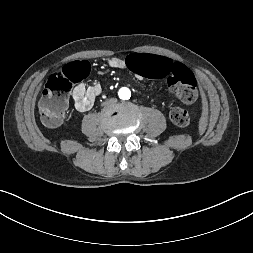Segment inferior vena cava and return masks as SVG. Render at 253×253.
Returning <instances> with one entry per match:
<instances>
[{
	"label": "inferior vena cava",
	"mask_w": 253,
	"mask_h": 253,
	"mask_svg": "<svg viewBox=\"0 0 253 253\" xmlns=\"http://www.w3.org/2000/svg\"><path fill=\"white\" fill-rule=\"evenodd\" d=\"M117 103V100H116V98H114V97H111V98H106V99H102L101 101H100V104L102 105V106H107V105H115Z\"/></svg>",
	"instance_id": "obj_1"
}]
</instances>
